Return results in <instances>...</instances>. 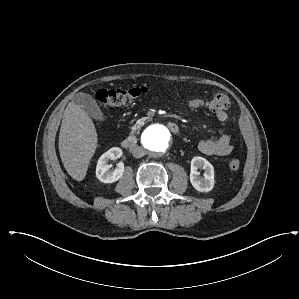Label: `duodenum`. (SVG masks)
Wrapping results in <instances>:
<instances>
[{"label":"duodenum","mask_w":299,"mask_h":299,"mask_svg":"<svg viewBox=\"0 0 299 299\" xmlns=\"http://www.w3.org/2000/svg\"><path fill=\"white\" fill-rule=\"evenodd\" d=\"M166 125L172 133H174L176 135L180 134V128L176 123H174L172 121H168L166 123ZM136 143H137L136 134H131L122 141V147L131 148V147L135 146Z\"/></svg>","instance_id":"1"}]
</instances>
